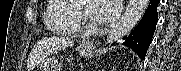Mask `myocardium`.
Here are the masks:
<instances>
[{"mask_svg": "<svg viewBox=\"0 0 181 71\" xmlns=\"http://www.w3.org/2000/svg\"><path fill=\"white\" fill-rule=\"evenodd\" d=\"M75 7L78 12V20L82 24V30L87 33L94 32L97 26L91 21L88 5L81 2L77 3Z\"/></svg>", "mask_w": 181, "mask_h": 71, "instance_id": "1", "label": "myocardium"}]
</instances>
